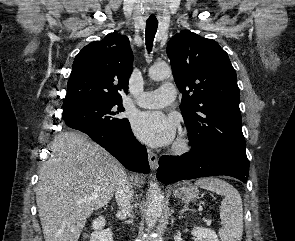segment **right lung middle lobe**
Wrapping results in <instances>:
<instances>
[{
	"label": "right lung middle lobe",
	"mask_w": 295,
	"mask_h": 241,
	"mask_svg": "<svg viewBox=\"0 0 295 241\" xmlns=\"http://www.w3.org/2000/svg\"><path fill=\"white\" fill-rule=\"evenodd\" d=\"M125 109L122 102L90 103L63 111V118L71 128L82 125H100L116 131H124L130 127L127 118L120 113Z\"/></svg>",
	"instance_id": "right-lung-middle-lobe-1"
}]
</instances>
